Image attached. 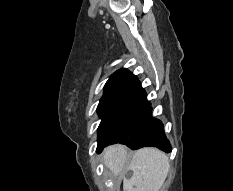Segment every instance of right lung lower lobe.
<instances>
[{"label": "right lung lower lobe", "instance_id": "right-lung-lower-lobe-1", "mask_svg": "<svg viewBox=\"0 0 233 191\" xmlns=\"http://www.w3.org/2000/svg\"><path fill=\"white\" fill-rule=\"evenodd\" d=\"M126 96V108L98 140L97 152L100 153L104 147L118 142L131 149L153 146L170 152L171 147L165 136L163 124L151 116L152 107L139 81Z\"/></svg>", "mask_w": 233, "mask_h": 191}]
</instances>
